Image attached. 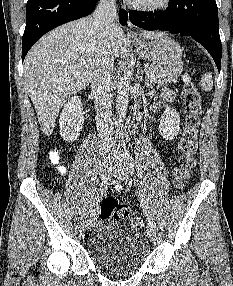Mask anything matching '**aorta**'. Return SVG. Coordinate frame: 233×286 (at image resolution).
Returning a JSON list of instances; mask_svg holds the SVG:
<instances>
[{
    "label": "aorta",
    "mask_w": 233,
    "mask_h": 286,
    "mask_svg": "<svg viewBox=\"0 0 233 286\" xmlns=\"http://www.w3.org/2000/svg\"><path fill=\"white\" fill-rule=\"evenodd\" d=\"M130 92V72L127 68L124 69V75L120 78L118 83V94L116 98V111L118 116V127L120 135L122 134L123 118L126 114Z\"/></svg>",
    "instance_id": "obj_1"
}]
</instances>
